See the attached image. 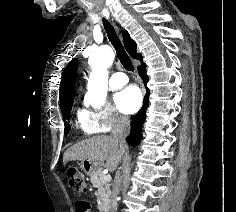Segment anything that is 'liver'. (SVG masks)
Masks as SVG:
<instances>
[{
    "mask_svg": "<svg viewBox=\"0 0 236 212\" xmlns=\"http://www.w3.org/2000/svg\"><path fill=\"white\" fill-rule=\"evenodd\" d=\"M126 147L118 139L112 136L101 135L85 139L66 150L63 156V164L68 161L89 160L97 166H105L114 171L121 161Z\"/></svg>",
    "mask_w": 236,
    "mask_h": 212,
    "instance_id": "1",
    "label": "liver"
}]
</instances>
